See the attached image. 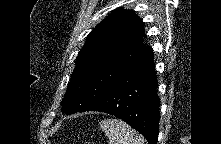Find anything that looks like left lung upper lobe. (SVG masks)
Returning a JSON list of instances; mask_svg holds the SVG:
<instances>
[{
    "mask_svg": "<svg viewBox=\"0 0 221 144\" xmlns=\"http://www.w3.org/2000/svg\"><path fill=\"white\" fill-rule=\"evenodd\" d=\"M143 36L144 23L131 10H115L99 23L76 58L61 103L64 112L73 114L91 107L146 49Z\"/></svg>",
    "mask_w": 221,
    "mask_h": 144,
    "instance_id": "obj_1",
    "label": "left lung upper lobe"
}]
</instances>
